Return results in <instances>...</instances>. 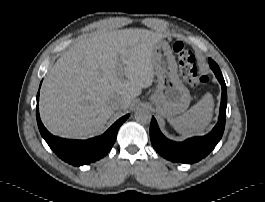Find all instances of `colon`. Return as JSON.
<instances>
[{
  "label": "colon",
  "instance_id": "5ec220e1",
  "mask_svg": "<svg viewBox=\"0 0 265 202\" xmlns=\"http://www.w3.org/2000/svg\"><path fill=\"white\" fill-rule=\"evenodd\" d=\"M173 48L185 81L193 87L205 82L206 76L199 74L197 71L196 58L193 51L182 42H175Z\"/></svg>",
  "mask_w": 265,
  "mask_h": 202
}]
</instances>
